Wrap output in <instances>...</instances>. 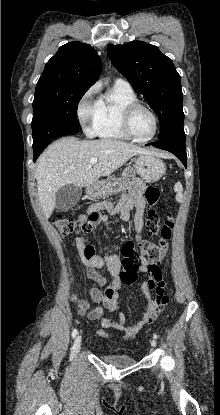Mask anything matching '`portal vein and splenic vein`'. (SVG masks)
Here are the masks:
<instances>
[{
	"label": "portal vein and splenic vein",
	"instance_id": "portal-vein-and-splenic-vein-1",
	"mask_svg": "<svg viewBox=\"0 0 220 415\" xmlns=\"http://www.w3.org/2000/svg\"><path fill=\"white\" fill-rule=\"evenodd\" d=\"M97 158H91L90 159V161H89V163L91 164V165H94V164H96L97 163Z\"/></svg>",
	"mask_w": 220,
	"mask_h": 415
}]
</instances>
